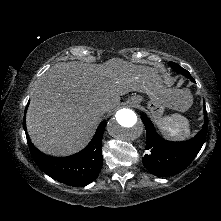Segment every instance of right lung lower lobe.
Returning a JSON list of instances; mask_svg holds the SVG:
<instances>
[{
  "label": "right lung lower lobe",
  "instance_id": "1",
  "mask_svg": "<svg viewBox=\"0 0 221 221\" xmlns=\"http://www.w3.org/2000/svg\"><path fill=\"white\" fill-rule=\"evenodd\" d=\"M27 107L28 104L25 112ZM105 126L106 122L100 123L91 142L79 153L68 157H50L40 152L32 144L24 120L27 143L36 164L51 178L71 186L86 185L99 175L103 162L101 143Z\"/></svg>",
  "mask_w": 221,
  "mask_h": 221
}]
</instances>
